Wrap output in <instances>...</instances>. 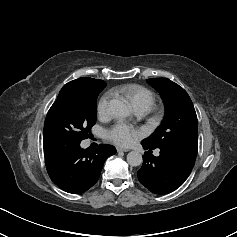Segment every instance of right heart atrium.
<instances>
[{
    "label": "right heart atrium",
    "mask_w": 237,
    "mask_h": 237,
    "mask_svg": "<svg viewBox=\"0 0 237 237\" xmlns=\"http://www.w3.org/2000/svg\"><path fill=\"white\" fill-rule=\"evenodd\" d=\"M110 98H111V93H105L100 98L97 105V112L99 116L104 117L108 114Z\"/></svg>",
    "instance_id": "1"
}]
</instances>
